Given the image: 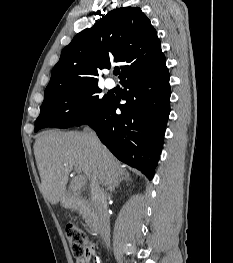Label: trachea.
<instances>
[{
    "mask_svg": "<svg viewBox=\"0 0 233 263\" xmlns=\"http://www.w3.org/2000/svg\"><path fill=\"white\" fill-rule=\"evenodd\" d=\"M119 73H120V70H119V69H115V70H114V74H115V75H118Z\"/></svg>",
    "mask_w": 233,
    "mask_h": 263,
    "instance_id": "trachea-1",
    "label": "trachea"
}]
</instances>
